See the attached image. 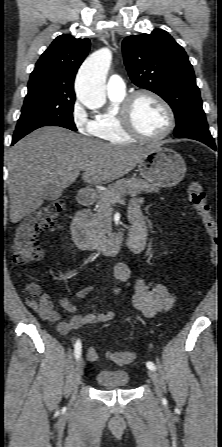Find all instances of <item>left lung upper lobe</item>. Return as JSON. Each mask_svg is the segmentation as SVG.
I'll use <instances>...</instances> for the list:
<instances>
[{"mask_svg": "<svg viewBox=\"0 0 222 447\" xmlns=\"http://www.w3.org/2000/svg\"><path fill=\"white\" fill-rule=\"evenodd\" d=\"M124 62L132 82L161 96L173 109L175 137L213 140L199 88L184 49L162 29L123 40Z\"/></svg>", "mask_w": 222, "mask_h": 447, "instance_id": "5c2ea615", "label": "left lung upper lobe"}]
</instances>
